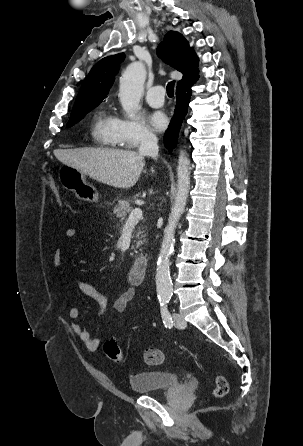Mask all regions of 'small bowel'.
<instances>
[{"mask_svg":"<svg viewBox=\"0 0 303 446\" xmlns=\"http://www.w3.org/2000/svg\"><path fill=\"white\" fill-rule=\"evenodd\" d=\"M65 236L68 239H73L77 236V230L75 228H68L65 231ZM53 264L56 269H60L62 266V253L60 249H56L53 253ZM77 288L83 295L97 302L99 306L97 316H103L108 306L106 296L97 287L86 281H78ZM134 296L135 289L133 287L122 292L114 302L113 307L115 311L119 313L123 312L127 308L129 302L133 300ZM69 317L72 320L77 321L80 317L78 308L71 307L69 309ZM72 330L84 343L87 350L96 351L98 349V339L92 336V334L88 330H86L80 323L74 322L72 324Z\"/></svg>","mask_w":303,"mask_h":446,"instance_id":"c3829d8e","label":"small bowel"}]
</instances>
